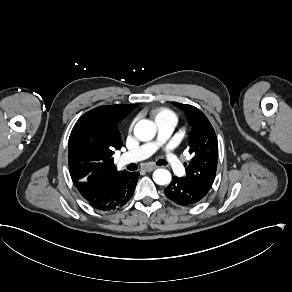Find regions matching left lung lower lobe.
I'll use <instances>...</instances> for the list:
<instances>
[{"mask_svg": "<svg viewBox=\"0 0 292 292\" xmlns=\"http://www.w3.org/2000/svg\"><path fill=\"white\" fill-rule=\"evenodd\" d=\"M208 190L186 183L182 178L173 177L172 182L165 188L166 196L181 206H191L201 201Z\"/></svg>", "mask_w": 292, "mask_h": 292, "instance_id": "left-lung-lower-lobe-1", "label": "left lung lower lobe"}]
</instances>
